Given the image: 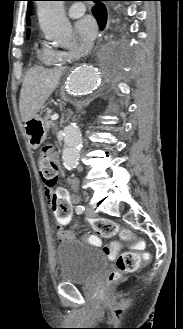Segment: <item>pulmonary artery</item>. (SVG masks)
Segmentation results:
<instances>
[{
  "label": "pulmonary artery",
  "mask_w": 183,
  "mask_h": 329,
  "mask_svg": "<svg viewBox=\"0 0 183 329\" xmlns=\"http://www.w3.org/2000/svg\"><path fill=\"white\" fill-rule=\"evenodd\" d=\"M86 11V7L83 3L77 2L73 3L68 9V15L71 18H78L82 16Z\"/></svg>",
  "instance_id": "obj_1"
}]
</instances>
